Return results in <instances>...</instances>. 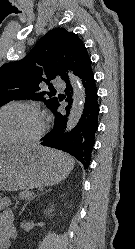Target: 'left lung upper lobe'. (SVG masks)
<instances>
[{
  "instance_id": "1",
  "label": "left lung upper lobe",
  "mask_w": 135,
  "mask_h": 249,
  "mask_svg": "<svg viewBox=\"0 0 135 249\" xmlns=\"http://www.w3.org/2000/svg\"><path fill=\"white\" fill-rule=\"evenodd\" d=\"M90 62L85 45L75 33L53 29L22 60L0 67V107L12 100L32 99L43 101L52 110L58 98L52 93L50 80L60 76L68 83L65 66L80 76ZM44 82L51 92L41 91Z\"/></svg>"
}]
</instances>
